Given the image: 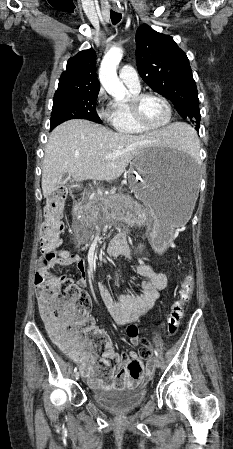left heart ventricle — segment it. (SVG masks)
<instances>
[{"label":"left heart ventricle","instance_id":"1","mask_svg":"<svg viewBox=\"0 0 233 449\" xmlns=\"http://www.w3.org/2000/svg\"><path fill=\"white\" fill-rule=\"evenodd\" d=\"M141 114L148 124L159 125L167 118V108L158 98L146 97L141 103Z\"/></svg>","mask_w":233,"mask_h":449}]
</instances>
